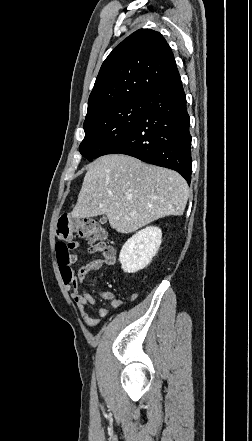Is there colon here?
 Segmentation results:
<instances>
[{
	"mask_svg": "<svg viewBox=\"0 0 252 441\" xmlns=\"http://www.w3.org/2000/svg\"><path fill=\"white\" fill-rule=\"evenodd\" d=\"M78 233L81 237L88 240L92 251H100L105 244L102 242L104 232L98 227L95 221L90 219L78 220L69 214H63L57 224L56 256L60 266L62 277L71 280L74 276L72 270L73 256L70 254L71 243H67L73 234Z\"/></svg>",
	"mask_w": 252,
	"mask_h": 441,
	"instance_id": "obj_1",
	"label": "colon"
}]
</instances>
